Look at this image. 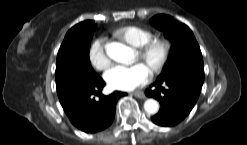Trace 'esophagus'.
Returning a JSON list of instances; mask_svg holds the SVG:
<instances>
[{"label":"esophagus","mask_w":247,"mask_h":145,"mask_svg":"<svg viewBox=\"0 0 247 145\" xmlns=\"http://www.w3.org/2000/svg\"><path fill=\"white\" fill-rule=\"evenodd\" d=\"M133 95L137 98H140V99H144L145 98V94L143 91H135L133 92Z\"/></svg>","instance_id":"obj_1"}]
</instances>
